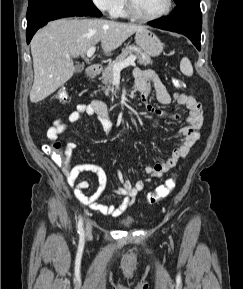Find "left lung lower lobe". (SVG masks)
<instances>
[{
  "label": "left lung lower lobe",
  "instance_id": "left-lung-lower-lobe-1",
  "mask_svg": "<svg viewBox=\"0 0 243 289\" xmlns=\"http://www.w3.org/2000/svg\"><path fill=\"white\" fill-rule=\"evenodd\" d=\"M148 24L163 30L181 33L200 50L202 13L199 1L188 0L179 3L168 17L150 21Z\"/></svg>",
  "mask_w": 243,
  "mask_h": 289
}]
</instances>
